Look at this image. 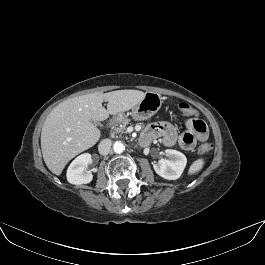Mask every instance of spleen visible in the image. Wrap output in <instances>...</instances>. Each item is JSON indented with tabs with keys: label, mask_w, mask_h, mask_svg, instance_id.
<instances>
[{
	"label": "spleen",
	"mask_w": 265,
	"mask_h": 265,
	"mask_svg": "<svg viewBox=\"0 0 265 265\" xmlns=\"http://www.w3.org/2000/svg\"><path fill=\"white\" fill-rule=\"evenodd\" d=\"M203 165H204V160L203 159H197L190 166L188 174L194 175V174L198 173L203 168Z\"/></svg>",
	"instance_id": "3e777b00"
}]
</instances>
